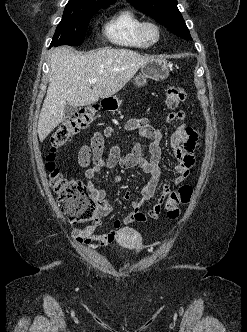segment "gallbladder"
Wrapping results in <instances>:
<instances>
[{"instance_id":"obj_1","label":"gallbladder","mask_w":247,"mask_h":332,"mask_svg":"<svg viewBox=\"0 0 247 332\" xmlns=\"http://www.w3.org/2000/svg\"><path fill=\"white\" fill-rule=\"evenodd\" d=\"M76 111V107L70 105V104H67L66 107H65V110H64V115L66 117H70L71 115H73Z\"/></svg>"}]
</instances>
